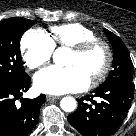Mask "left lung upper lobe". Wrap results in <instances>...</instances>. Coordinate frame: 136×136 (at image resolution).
I'll list each match as a JSON object with an SVG mask.
<instances>
[{"instance_id":"5c2ea615","label":"left lung upper lobe","mask_w":136,"mask_h":136,"mask_svg":"<svg viewBox=\"0 0 136 136\" xmlns=\"http://www.w3.org/2000/svg\"><path fill=\"white\" fill-rule=\"evenodd\" d=\"M113 47V70L100 87L115 82H133V63L122 40L111 31L104 29Z\"/></svg>"}]
</instances>
